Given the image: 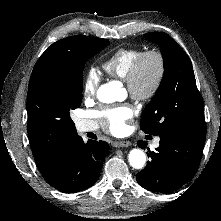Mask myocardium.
<instances>
[{
  "label": "myocardium",
  "instance_id": "1",
  "mask_svg": "<svg viewBox=\"0 0 221 221\" xmlns=\"http://www.w3.org/2000/svg\"><path fill=\"white\" fill-rule=\"evenodd\" d=\"M154 60L156 75L152 83L144 87L142 85V74L148 60ZM166 76V59L158 49L143 52L130 70L125 83L130 96L137 102H148L153 99L161 89Z\"/></svg>",
  "mask_w": 221,
  "mask_h": 221
}]
</instances>
